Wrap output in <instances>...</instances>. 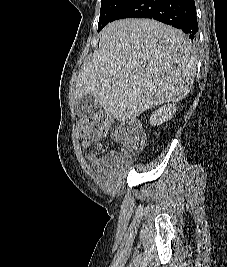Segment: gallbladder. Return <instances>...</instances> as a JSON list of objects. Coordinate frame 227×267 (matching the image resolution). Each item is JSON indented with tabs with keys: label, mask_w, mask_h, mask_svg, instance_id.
Instances as JSON below:
<instances>
[{
	"label": "gallbladder",
	"mask_w": 227,
	"mask_h": 267,
	"mask_svg": "<svg viewBox=\"0 0 227 267\" xmlns=\"http://www.w3.org/2000/svg\"><path fill=\"white\" fill-rule=\"evenodd\" d=\"M98 107V102L91 94L84 95L76 101L77 113L82 117L92 116L96 112Z\"/></svg>",
	"instance_id": "gallbladder-1"
}]
</instances>
